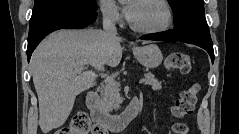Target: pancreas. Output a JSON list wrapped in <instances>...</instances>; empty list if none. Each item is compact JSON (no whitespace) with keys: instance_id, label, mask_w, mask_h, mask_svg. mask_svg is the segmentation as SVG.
I'll return each instance as SVG.
<instances>
[{"instance_id":"1","label":"pancreas","mask_w":239,"mask_h":134,"mask_svg":"<svg viewBox=\"0 0 239 134\" xmlns=\"http://www.w3.org/2000/svg\"><path fill=\"white\" fill-rule=\"evenodd\" d=\"M145 83L154 90H161L163 88L162 82L159 81L153 74H145ZM102 105L109 111L118 109L120 107V83L117 81H108L101 90Z\"/></svg>"}]
</instances>
